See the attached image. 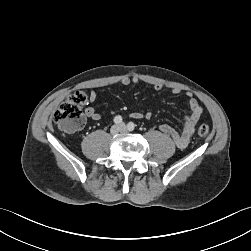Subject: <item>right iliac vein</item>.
I'll return each instance as SVG.
<instances>
[{"instance_id": "obj_1", "label": "right iliac vein", "mask_w": 251, "mask_h": 251, "mask_svg": "<svg viewBox=\"0 0 251 251\" xmlns=\"http://www.w3.org/2000/svg\"><path fill=\"white\" fill-rule=\"evenodd\" d=\"M120 131H121L120 125H114V126L111 127V130H110V132H111L112 135H116Z\"/></svg>"}]
</instances>
